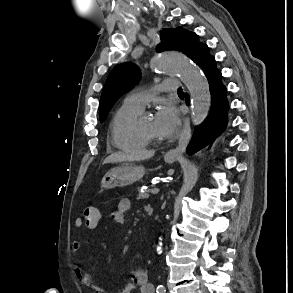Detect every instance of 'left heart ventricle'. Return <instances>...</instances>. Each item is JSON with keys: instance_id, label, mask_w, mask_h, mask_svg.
<instances>
[{"instance_id": "left-heart-ventricle-1", "label": "left heart ventricle", "mask_w": 293, "mask_h": 293, "mask_svg": "<svg viewBox=\"0 0 293 293\" xmlns=\"http://www.w3.org/2000/svg\"><path fill=\"white\" fill-rule=\"evenodd\" d=\"M140 126L148 136L156 140H161L162 136L157 130L154 116L143 117L140 121Z\"/></svg>"}]
</instances>
